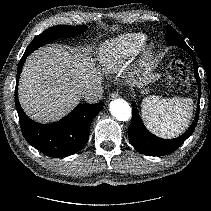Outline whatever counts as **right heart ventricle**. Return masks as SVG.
<instances>
[{
    "instance_id": "e07e8e85",
    "label": "right heart ventricle",
    "mask_w": 211,
    "mask_h": 211,
    "mask_svg": "<svg viewBox=\"0 0 211 211\" xmlns=\"http://www.w3.org/2000/svg\"><path fill=\"white\" fill-rule=\"evenodd\" d=\"M146 35L139 32L122 34L106 43L99 49L102 65L114 71L124 65L145 44Z\"/></svg>"
}]
</instances>
